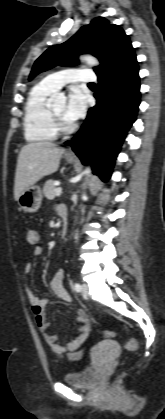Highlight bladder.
Instances as JSON below:
<instances>
[{
  "instance_id": "1",
  "label": "bladder",
  "mask_w": 165,
  "mask_h": 419,
  "mask_svg": "<svg viewBox=\"0 0 165 419\" xmlns=\"http://www.w3.org/2000/svg\"><path fill=\"white\" fill-rule=\"evenodd\" d=\"M63 380L72 387L89 389L97 384L99 374L95 368L89 366L79 371L66 373Z\"/></svg>"
}]
</instances>
